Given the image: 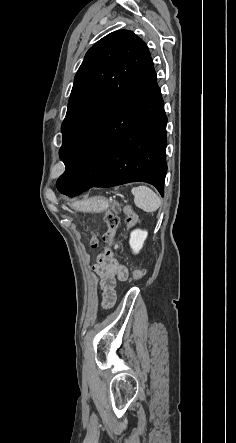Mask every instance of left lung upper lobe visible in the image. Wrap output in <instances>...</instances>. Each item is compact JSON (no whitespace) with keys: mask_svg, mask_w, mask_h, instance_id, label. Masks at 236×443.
<instances>
[{"mask_svg":"<svg viewBox=\"0 0 236 443\" xmlns=\"http://www.w3.org/2000/svg\"><path fill=\"white\" fill-rule=\"evenodd\" d=\"M150 58L147 45L133 32L118 30L86 53L78 69L62 123L60 158L66 164L95 122L110 108Z\"/></svg>","mask_w":236,"mask_h":443,"instance_id":"left-lung-upper-lobe-1","label":"left lung upper lobe"}]
</instances>
